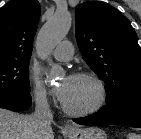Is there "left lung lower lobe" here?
<instances>
[{
  "instance_id": "left-lung-lower-lobe-1",
  "label": "left lung lower lobe",
  "mask_w": 141,
  "mask_h": 139,
  "mask_svg": "<svg viewBox=\"0 0 141 139\" xmlns=\"http://www.w3.org/2000/svg\"><path fill=\"white\" fill-rule=\"evenodd\" d=\"M73 121L81 125L115 124L141 128V92L125 95L106 104L99 112Z\"/></svg>"
}]
</instances>
